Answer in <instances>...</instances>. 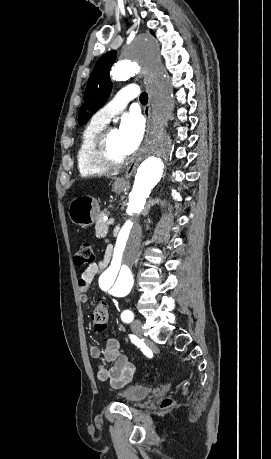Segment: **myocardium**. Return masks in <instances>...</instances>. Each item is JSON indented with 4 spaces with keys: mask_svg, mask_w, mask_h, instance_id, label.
I'll return each instance as SVG.
<instances>
[{
    "mask_svg": "<svg viewBox=\"0 0 271 459\" xmlns=\"http://www.w3.org/2000/svg\"><path fill=\"white\" fill-rule=\"evenodd\" d=\"M113 127H106L98 132L90 141L87 156L94 165L116 167L121 165L127 158L126 154H115L109 146V136Z\"/></svg>",
    "mask_w": 271,
    "mask_h": 459,
    "instance_id": "f54148a6",
    "label": "myocardium"
}]
</instances>
